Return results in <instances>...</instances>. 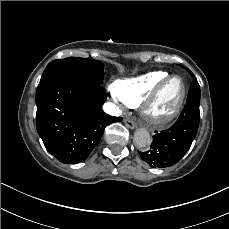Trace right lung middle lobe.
I'll return each mask as SVG.
<instances>
[{"label":"right lung middle lobe","instance_id":"obj_1","mask_svg":"<svg viewBox=\"0 0 229 229\" xmlns=\"http://www.w3.org/2000/svg\"><path fill=\"white\" fill-rule=\"evenodd\" d=\"M65 76L81 77L102 84L104 78L103 63L78 57L56 59L45 68L37 89Z\"/></svg>","mask_w":229,"mask_h":229}]
</instances>
